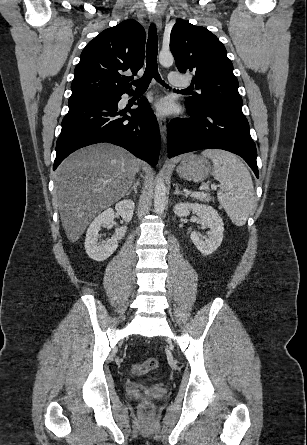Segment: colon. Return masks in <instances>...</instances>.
Masks as SVG:
<instances>
[{
    "mask_svg": "<svg viewBox=\"0 0 307 445\" xmlns=\"http://www.w3.org/2000/svg\"><path fill=\"white\" fill-rule=\"evenodd\" d=\"M158 367V360L156 358H149L141 363L132 366V372L136 375H145Z\"/></svg>",
    "mask_w": 307,
    "mask_h": 445,
    "instance_id": "obj_1",
    "label": "colon"
}]
</instances>
